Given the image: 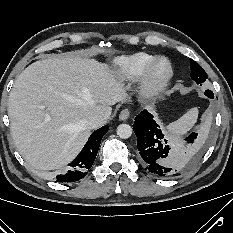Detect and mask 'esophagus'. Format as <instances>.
I'll list each match as a JSON object with an SVG mask.
<instances>
[{
	"mask_svg": "<svg viewBox=\"0 0 233 233\" xmlns=\"http://www.w3.org/2000/svg\"><path fill=\"white\" fill-rule=\"evenodd\" d=\"M129 116H130V110L128 108H125L120 112L119 119L121 121H125L129 118Z\"/></svg>",
	"mask_w": 233,
	"mask_h": 233,
	"instance_id": "34e87169",
	"label": "esophagus"
}]
</instances>
